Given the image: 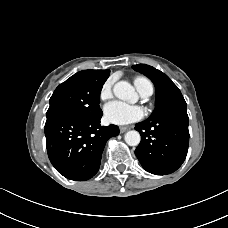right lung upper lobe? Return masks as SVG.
<instances>
[{
  "mask_svg": "<svg viewBox=\"0 0 228 228\" xmlns=\"http://www.w3.org/2000/svg\"><path fill=\"white\" fill-rule=\"evenodd\" d=\"M99 71L101 70H83L76 73V75L90 77V76L96 75L97 73H99Z\"/></svg>",
  "mask_w": 228,
  "mask_h": 228,
  "instance_id": "right-lung-upper-lobe-1",
  "label": "right lung upper lobe"
}]
</instances>
